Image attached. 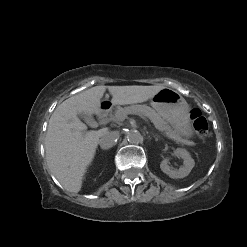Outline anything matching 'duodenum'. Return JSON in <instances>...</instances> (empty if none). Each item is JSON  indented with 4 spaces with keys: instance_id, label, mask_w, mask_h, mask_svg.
<instances>
[{
    "instance_id": "410a0bca",
    "label": "duodenum",
    "mask_w": 247,
    "mask_h": 247,
    "mask_svg": "<svg viewBox=\"0 0 247 247\" xmlns=\"http://www.w3.org/2000/svg\"><path fill=\"white\" fill-rule=\"evenodd\" d=\"M109 105L103 104L99 107L97 111V117L99 120L103 121L108 114Z\"/></svg>"
}]
</instances>
